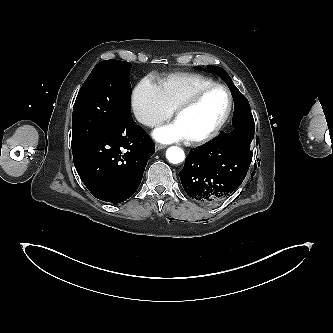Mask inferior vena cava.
<instances>
[{"mask_svg":"<svg viewBox=\"0 0 333 333\" xmlns=\"http://www.w3.org/2000/svg\"><path fill=\"white\" fill-rule=\"evenodd\" d=\"M139 121L148 125V126H154L157 123V121L152 119V118H143V117L141 118L140 117Z\"/></svg>","mask_w":333,"mask_h":333,"instance_id":"1","label":"inferior vena cava"}]
</instances>
